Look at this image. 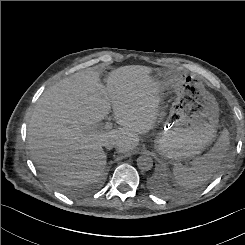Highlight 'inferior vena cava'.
I'll list each match as a JSON object with an SVG mask.
<instances>
[{
  "label": "inferior vena cava",
  "instance_id": "obj_1",
  "mask_svg": "<svg viewBox=\"0 0 245 245\" xmlns=\"http://www.w3.org/2000/svg\"><path fill=\"white\" fill-rule=\"evenodd\" d=\"M103 146H105L108 149H111L113 146H116V142L115 141H105L103 143Z\"/></svg>",
  "mask_w": 245,
  "mask_h": 245
}]
</instances>
